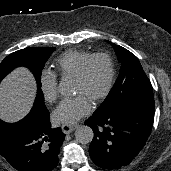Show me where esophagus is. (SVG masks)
Wrapping results in <instances>:
<instances>
[{"mask_svg":"<svg viewBox=\"0 0 171 171\" xmlns=\"http://www.w3.org/2000/svg\"><path fill=\"white\" fill-rule=\"evenodd\" d=\"M61 128L64 134H69L77 128V125H62Z\"/></svg>","mask_w":171,"mask_h":171,"instance_id":"esophagus-1","label":"esophagus"}]
</instances>
